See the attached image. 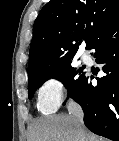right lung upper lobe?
Instances as JSON below:
<instances>
[{"mask_svg": "<svg viewBox=\"0 0 119 141\" xmlns=\"http://www.w3.org/2000/svg\"><path fill=\"white\" fill-rule=\"evenodd\" d=\"M116 19L119 0H51L34 22L28 75L68 64L82 39L89 50Z\"/></svg>", "mask_w": 119, "mask_h": 141, "instance_id": "1", "label": "right lung upper lobe"}]
</instances>
